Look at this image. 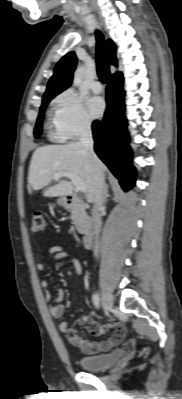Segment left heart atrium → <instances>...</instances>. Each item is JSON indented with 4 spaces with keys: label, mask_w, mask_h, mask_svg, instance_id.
<instances>
[{
    "label": "left heart atrium",
    "mask_w": 182,
    "mask_h": 399,
    "mask_svg": "<svg viewBox=\"0 0 182 399\" xmlns=\"http://www.w3.org/2000/svg\"><path fill=\"white\" fill-rule=\"evenodd\" d=\"M86 104L88 112L92 118H98L102 115L105 108V104L101 97L98 96L90 97L87 100Z\"/></svg>",
    "instance_id": "obj_1"
}]
</instances>
